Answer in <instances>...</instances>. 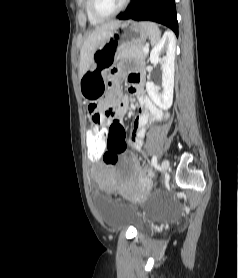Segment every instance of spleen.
I'll return each instance as SVG.
<instances>
[{
  "instance_id": "3e777b00",
  "label": "spleen",
  "mask_w": 238,
  "mask_h": 278,
  "mask_svg": "<svg viewBox=\"0 0 238 278\" xmlns=\"http://www.w3.org/2000/svg\"><path fill=\"white\" fill-rule=\"evenodd\" d=\"M149 30V37L152 45H156L160 40V31L155 23L144 22L143 23Z\"/></svg>"
}]
</instances>
